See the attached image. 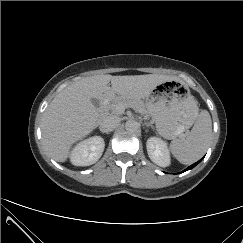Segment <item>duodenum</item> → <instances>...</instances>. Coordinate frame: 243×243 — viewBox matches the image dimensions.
I'll return each instance as SVG.
<instances>
[{
  "label": "duodenum",
  "mask_w": 243,
  "mask_h": 243,
  "mask_svg": "<svg viewBox=\"0 0 243 243\" xmlns=\"http://www.w3.org/2000/svg\"><path fill=\"white\" fill-rule=\"evenodd\" d=\"M110 96H111V92L110 91H105L102 95L101 98V109L102 111H104L106 105L108 104L109 100H110Z\"/></svg>",
  "instance_id": "obj_1"
}]
</instances>
